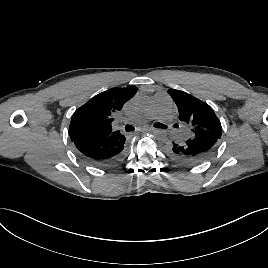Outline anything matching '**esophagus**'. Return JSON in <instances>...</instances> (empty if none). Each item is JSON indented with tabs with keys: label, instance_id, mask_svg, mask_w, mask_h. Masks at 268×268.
Listing matches in <instances>:
<instances>
[{
	"label": "esophagus",
	"instance_id": "1",
	"mask_svg": "<svg viewBox=\"0 0 268 268\" xmlns=\"http://www.w3.org/2000/svg\"><path fill=\"white\" fill-rule=\"evenodd\" d=\"M149 130H150V131H156L157 129H156V128L151 127V128H149Z\"/></svg>",
	"mask_w": 268,
	"mask_h": 268
}]
</instances>
